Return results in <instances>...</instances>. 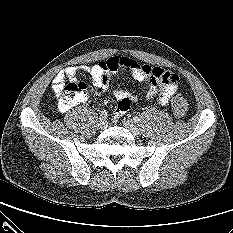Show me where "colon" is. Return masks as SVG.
I'll use <instances>...</instances> for the list:
<instances>
[{
    "label": "colon",
    "instance_id": "1",
    "mask_svg": "<svg viewBox=\"0 0 233 233\" xmlns=\"http://www.w3.org/2000/svg\"><path fill=\"white\" fill-rule=\"evenodd\" d=\"M85 89L83 83L73 82L65 85L58 100V108L65 111L81 103L85 98ZM171 110L176 117H183L188 111L187 100L180 94L174 95L171 100Z\"/></svg>",
    "mask_w": 233,
    "mask_h": 233
}]
</instances>
